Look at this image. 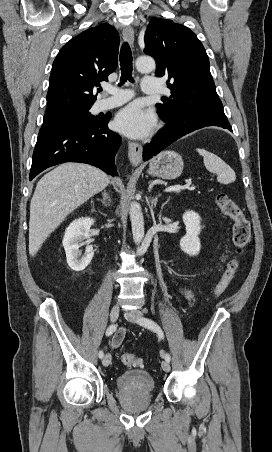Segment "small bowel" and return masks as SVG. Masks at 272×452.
<instances>
[{
	"mask_svg": "<svg viewBox=\"0 0 272 452\" xmlns=\"http://www.w3.org/2000/svg\"><path fill=\"white\" fill-rule=\"evenodd\" d=\"M179 293L188 303H192L194 301V294L190 289L180 288ZM125 335H126V329H124V328L119 329L114 334L112 341H111V346L113 349H117L121 346Z\"/></svg>",
	"mask_w": 272,
	"mask_h": 452,
	"instance_id": "1",
	"label": "small bowel"
}]
</instances>
